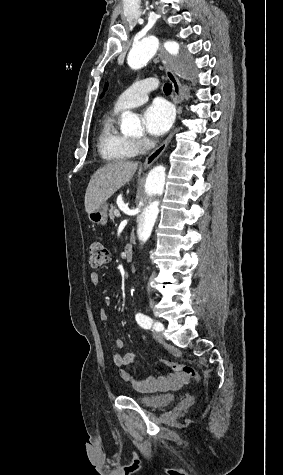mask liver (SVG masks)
Wrapping results in <instances>:
<instances>
[{
	"label": "liver",
	"instance_id": "6515ba94",
	"mask_svg": "<svg viewBox=\"0 0 283 475\" xmlns=\"http://www.w3.org/2000/svg\"><path fill=\"white\" fill-rule=\"evenodd\" d=\"M138 162H109L93 174L85 194L87 214L100 208L119 188L132 180Z\"/></svg>",
	"mask_w": 283,
	"mask_h": 475
}]
</instances>
